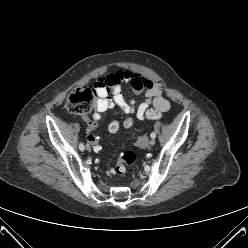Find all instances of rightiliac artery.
Returning <instances> with one entry per match:
<instances>
[{"mask_svg": "<svg viewBox=\"0 0 248 248\" xmlns=\"http://www.w3.org/2000/svg\"><path fill=\"white\" fill-rule=\"evenodd\" d=\"M79 149H80L81 151H83V150L85 149V147H84V144H83V143H80V144H79Z\"/></svg>", "mask_w": 248, "mask_h": 248, "instance_id": "obj_1", "label": "right iliac artery"}]
</instances>
